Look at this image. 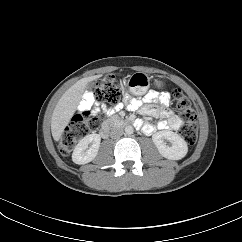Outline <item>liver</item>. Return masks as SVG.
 <instances>
[{
    "mask_svg": "<svg viewBox=\"0 0 242 242\" xmlns=\"http://www.w3.org/2000/svg\"><path fill=\"white\" fill-rule=\"evenodd\" d=\"M101 76L94 75L80 79L62 95L53 111L51 120V132L55 141H59L62 137L65 127L69 124L78 107L86 85Z\"/></svg>",
    "mask_w": 242,
    "mask_h": 242,
    "instance_id": "liver-1",
    "label": "liver"
}]
</instances>
